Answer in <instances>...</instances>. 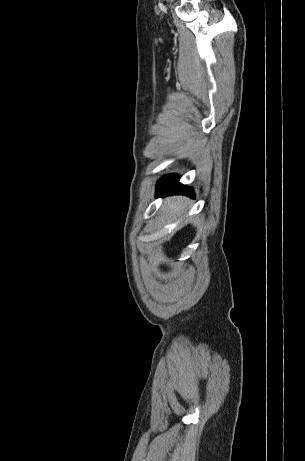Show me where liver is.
Here are the masks:
<instances>
[{"label":"liver","mask_w":305,"mask_h":461,"mask_svg":"<svg viewBox=\"0 0 305 461\" xmlns=\"http://www.w3.org/2000/svg\"><path fill=\"white\" fill-rule=\"evenodd\" d=\"M164 210L170 213H180L183 211L182 199L169 198L164 206Z\"/></svg>","instance_id":"1"}]
</instances>
